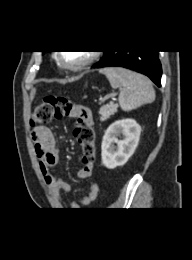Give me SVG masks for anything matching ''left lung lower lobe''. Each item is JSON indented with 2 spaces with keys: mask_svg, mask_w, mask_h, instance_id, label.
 Masks as SVG:
<instances>
[{
  "mask_svg": "<svg viewBox=\"0 0 192 260\" xmlns=\"http://www.w3.org/2000/svg\"><path fill=\"white\" fill-rule=\"evenodd\" d=\"M157 50L105 51L102 59L92 68L119 66L148 76L157 86H161V64Z\"/></svg>",
  "mask_w": 192,
  "mask_h": 260,
  "instance_id": "1",
  "label": "left lung lower lobe"
}]
</instances>
